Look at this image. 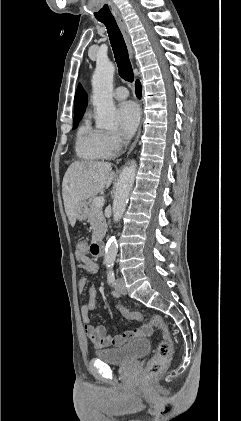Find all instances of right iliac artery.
I'll list each match as a JSON object with an SVG mask.
<instances>
[{
    "label": "right iliac artery",
    "instance_id": "right-iliac-artery-1",
    "mask_svg": "<svg viewBox=\"0 0 241 421\" xmlns=\"http://www.w3.org/2000/svg\"><path fill=\"white\" fill-rule=\"evenodd\" d=\"M113 295L118 297V294H116L115 292H113Z\"/></svg>",
    "mask_w": 241,
    "mask_h": 421
}]
</instances>
